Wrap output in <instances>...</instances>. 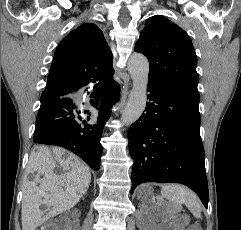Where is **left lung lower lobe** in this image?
<instances>
[{
	"instance_id": "1",
	"label": "left lung lower lobe",
	"mask_w": 241,
	"mask_h": 230,
	"mask_svg": "<svg viewBox=\"0 0 241 230\" xmlns=\"http://www.w3.org/2000/svg\"><path fill=\"white\" fill-rule=\"evenodd\" d=\"M145 113L128 130L134 165L131 192L144 182H177L208 207L205 153L200 137V97L155 81Z\"/></svg>"
}]
</instances>
